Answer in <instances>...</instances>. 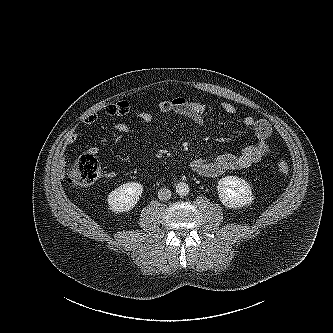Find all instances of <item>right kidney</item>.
I'll return each mask as SVG.
<instances>
[{
  "label": "right kidney",
  "mask_w": 333,
  "mask_h": 333,
  "mask_svg": "<svg viewBox=\"0 0 333 333\" xmlns=\"http://www.w3.org/2000/svg\"><path fill=\"white\" fill-rule=\"evenodd\" d=\"M143 192V185L137 182L122 184L108 195V206L112 212L121 213L132 210Z\"/></svg>",
  "instance_id": "1"
}]
</instances>
